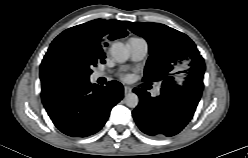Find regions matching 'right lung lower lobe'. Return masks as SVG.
<instances>
[{
  "instance_id": "98d812e1",
  "label": "right lung lower lobe",
  "mask_w": 248,
  "mask_h": 158,
  "mask_svg": "<svg viewBox=\"0 0 248 158\" xmlns=\"http://www.w3.org/2000/svg\"><path fill=\"white\" fill-rule=\"evenodd\" d=\"M43 105L54 125L64 134L86 137L98 132L111 109L123 98V86L110 81L107 86L86 81L41 93Z\"/></svg>"
}]
</instances>
